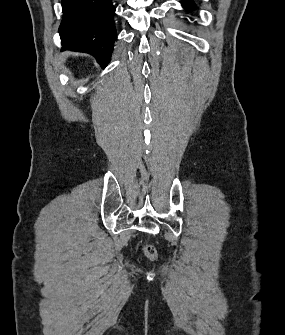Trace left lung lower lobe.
Masks as SVG:
<instances>
[{
  "instance_id": "1",
  "label": "left lung lower lobe",
  "mask_w": 285,
  "mask_h": 335,
  "mask_svg": "<svg viewBox=\"0 0 285 335\" xmlns=\"http://www.w3.org/2000/svg\"><path fill=\"white\" fill-rule=\"evenodd\" d=\"M182 2H183V6H184L185 9H187V10L193 9V7H194L193 0H182Z\"/></svg>"
}]
</instances>
